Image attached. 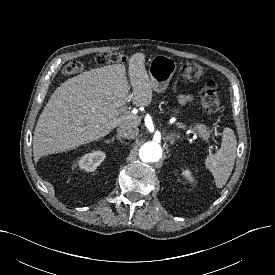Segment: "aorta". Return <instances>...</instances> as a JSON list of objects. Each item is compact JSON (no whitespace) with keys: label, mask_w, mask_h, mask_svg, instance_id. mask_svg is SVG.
Returning <instances> with one entry per match:
<instances>
[{"label":"aorta","mask_w":275,"mask_h":275,"mask_svg":"<svg viewBox=\"0 0 275 275\" xmlns=\"http://www.w3.org/2000/svg\"><path fill=\"white\" fill-rule=\"evenodd\" d=\"M141 161L146 163L157 162L162 157V147L159 143L149 141L144 143L139 150Z\"/></svg>","instance_id":"aorta-1"}]
</instances>
